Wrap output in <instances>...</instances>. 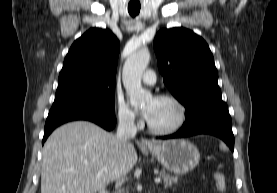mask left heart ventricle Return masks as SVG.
Returning a JSON list of instances; mask_svg holds the SVG:
<instances>
[{"mask_svg": "<svg viewBox=\"0 0 277 193\" xmlns=\"http://www.w3.org/2000/svg\"><path fill=\"white\" fill-rule=\"evenodd\" d=\"M152 107V113L149 118V123L160 129L169 128L173 126L178 120V109L170 101L151 99L146 102L144 109L150 105Z\"/></svg>", "mask_w": 277, "mask_h": 193, "instance_id": "1", "label": "left heart ventricle"}]
</instances>
